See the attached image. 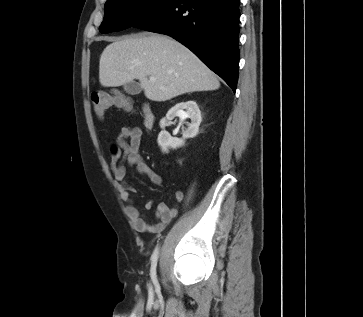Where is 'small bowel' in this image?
I'll return each instance as SVG.
<instances>
[{
    "label": "small bowel",
    "instance_id": "obj_1",
    "mask_svg": "<svg viewBox=\"0 0 363 317\" xmlns=\"http://www.w3.org/2000/svg\"><path fill=\"white\" fill-rule=\"evenodd\" d=\"M141 136L142 132L137 127L124 126L119 130L116 140L120 148L117 154H113L112 156L114 178L120 185L121 198L126 204L125 211L132 225L139 231L158 233L163 231L171 220L177 216L178 207L177 205L170 207L165 204H159L156 209V222L149 223L145 214L133 205L130 192L134 188L126 181L128 167L135 166L137 172L147 175L150 181L156 185L162 183L161 175L156 173L139 153ZM121 151L122 162L117 164V159ZM175 199L180 203L183 200V193L177 191L175 193ZM153 206V200H148L145 203V208L148 210L152 209Z\"/></svg>",
    "mask_w": 363,
    "mask_h": 317
}]
</instances>
